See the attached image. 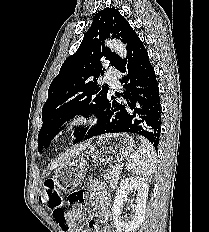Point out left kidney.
<instances>
[{"instance_id":"obj_1","label":"left kidney","mask_w":209,"mask_h":232,"mask_svg":"<svg viewBox=\"0 0 209 232\" xmlns=\"http://www.w3.org/2000/svg\"><path fill=\"white\" fill-rule=\"evenodd\" d=\"M148 188L147 180L141 177H129L120 182L112 208L113 220L118 232H134L142 224L145 216ZM130 190L137 191L136 205L133 209L134 216L131 221H123L121 208L123 203L127 201Z\"/></svg>"}]
</instances>
